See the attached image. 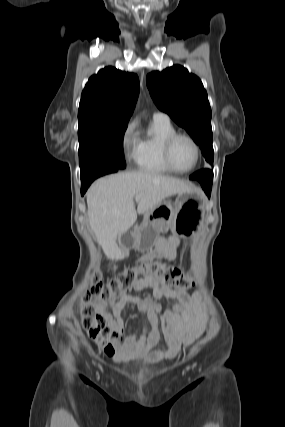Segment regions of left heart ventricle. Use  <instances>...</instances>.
Masks as SVG:
<instances>
[{"label":"left heart ventricle","instance_id":"b2bd125f","mask_svg":"<svg viewBox=\"0 0 285 427\" xmlns=\"http://www.w3.org/2000/svg\"><path fill=\"white\" fill-rule=\"evenodd\" d=\"M171 158L179 170L189 169L195 160V150L191 142L185 138L177 139L172 147Z\"/></svg>","mask_w":285,"mask_h":427}]
</instances>
